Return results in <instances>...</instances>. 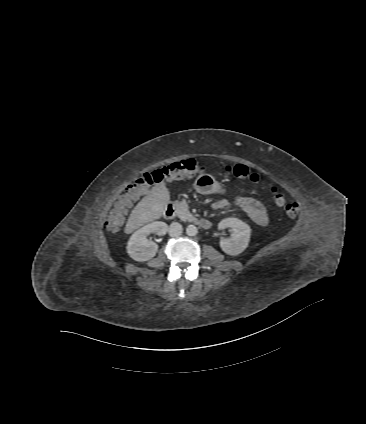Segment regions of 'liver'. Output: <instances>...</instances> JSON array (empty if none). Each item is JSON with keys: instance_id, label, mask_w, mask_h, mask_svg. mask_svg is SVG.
<instances>
[{"instance_id": "6515ba94", "label": "liver", "mask_w": 366, "mask_h": 424, "mask_svg": "<svg viewBox=\"0 0 366 424\" xmlns=\"http://www.w3.org/2000/svg\"><path fill=\"white\" fill-rule=\"evenodd\" d=\"M170 201V194L165 183L156 184L148 195L132 210L124 232L130 234L144 224L159 219Z\"/></svg>"}]
</instances>
